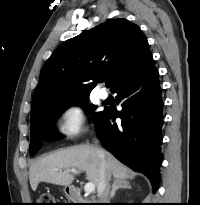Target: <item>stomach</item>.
Listing matches in <instances>:
<instances>
[{
	"label": "stomach",
	"instance_id": "0dacf381",
	"mask_svg": "<svg viewBox=\"0 0 200 205\" xmlns=\"http://www.w3.org/2000/svg\"><path fill=\"white\" fill-rule=\"evenodd\" d=\"M64 191H65V193L67 194V191H66V189H65Z\"/></svg>",
	"mask_w": 200,
	"mask_h": 205
}]
</instances>
